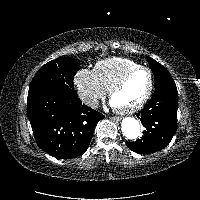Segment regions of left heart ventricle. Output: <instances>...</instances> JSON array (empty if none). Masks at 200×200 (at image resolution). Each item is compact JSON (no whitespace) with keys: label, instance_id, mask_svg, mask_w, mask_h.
I'll use <instances>...</instances> for the list:
<instances>
[{"label":"left heart ventricle","instance_id":"1","mask_svg":"<svg viewBox=\"0 0 200 200\" xmlns=\"http://www.w3.org/2000/svg\"><path fill=\"white\" fill-rule=\"evenodd\" d=\"M150 77L147 71H139L135 73L126 82V84L119 89L112 101L117 107H128L139 102L146 94L149 87Z\"/></svg>","mask_w":200,"mask_h":200}]
</instances>
